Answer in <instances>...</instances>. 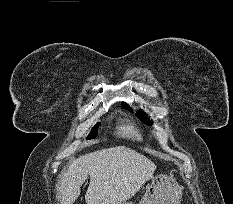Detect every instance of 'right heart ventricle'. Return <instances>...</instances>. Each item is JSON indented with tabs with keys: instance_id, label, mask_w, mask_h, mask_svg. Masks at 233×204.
Returning a JSON list of instances; mask_svg holds the SVG:
<instances>
[{
	"instance_id": "e07e8e85",
	"label": "right heart ventricle",
	"mask_w": 233,
	"mask_h": 204,
	"mask_svg": "<svg viewBox=\"0 0 233 204\" xmlns=\"http://www.w3.org/2000/svg\"><path fill=\"white\" fill-rule=\"evenodd\" d=\"M117 134L123 138L132 140V141H141L142 134L140 130L129 122H122L117 127Z\"/></svg>"
}]
</instances>
